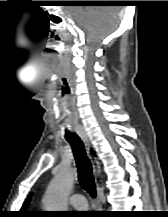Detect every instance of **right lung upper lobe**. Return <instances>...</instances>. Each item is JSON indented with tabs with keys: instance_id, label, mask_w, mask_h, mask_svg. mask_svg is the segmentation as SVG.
<instances>
[{
	"instance_id": "1",
	"label": "right lung upper lobe",
	"mask_w": 168,
	"mask_h": 217,
	"mask_svg": "<svg viewBox=\"0 0 168 217\" xmlns=\"http://www.w3.org/2000/svg\"><path fill=\"white\" fill-rule=\"evenodd\" d=\"M29 202H30V197H28L27 200H26V201L24 202V204H23V208H22V210H21V213H22L23 215H27V214H28L26 211H24V209H25V207L29 204Z\"/></svg>"
}]
</instances>
